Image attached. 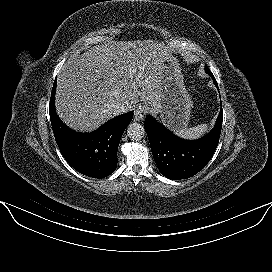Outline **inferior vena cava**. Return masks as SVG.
I'll use <instances>...</instances> for the list:
<instances>
[{
    "instance_id": "obj_1",
    "label": "inferior vena cava",
    "mask_w": 272,
    "mask_h": 272,
    "mask_svg": "<svg viewBox=\"0 0 272 272\" xmlns=\"http://www.w3.org/2000/svg\"><path fill=\"white\" fill-rule=\"evenodd\" d=\"M130 110V105L128 103H120L114 106L115 114L125 113Z\"/></svg>"
}]
</instances>
